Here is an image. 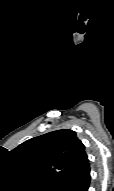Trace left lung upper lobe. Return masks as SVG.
I'll use <instances>...</instances> for the list:
<instances>
[{
    "instance_id": "1",
    "label": "left lung upper lobe",
    "mask_w": 114,
    "mask_h": 191,
    "mask_svg": "<svg viewBox=\"0 0 114 191\" xmlns=\"http://www.w3.org/2000/svg\"><path fill=\"white\" fill-rule=\"evenodd\" d=\"M12 155L26 175L48 191H63L89 161L85 146L68 129L29 139Z\"/></svg>"
}]
</instances>
